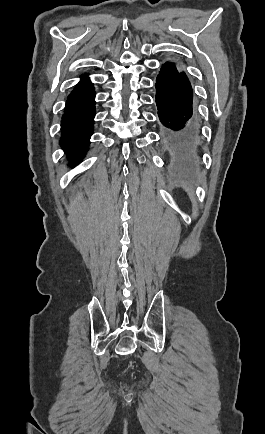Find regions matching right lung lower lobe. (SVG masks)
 <instances>
[{
  "mask_svg": "<svg viewBox=\"0 0 265 434\" xmlns=\"http://www.w3.org/2000/svg\"><path fill=\"white\" fill-rule=\"evenodd\" d=\"M95 117V92L87 75L69 94L61 122V147L74 166L82 160L92 135Z\"/></svg>",
  "mask_w": 265,
  "mask_h": 434,
  "instance_id": "obj_1",
  "label": "right lung lower lobe"
}]
</instances>
